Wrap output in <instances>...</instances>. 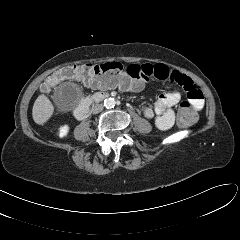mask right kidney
<instances>
[{
  "label": "right kidney",
  "instance_id": "right-kidney-1",
  "mask_svg": "<svg viewBox=\"0 0 240 240\" xmlns=\"http://www.w3.org/2000/svg\"><path fill=\"white\" fill-rule=\"evenodd\" d=\"M68 132H69V126L68 125H63L58 130V136L60 138H63L65 136H67Z\"/></svg>",
  "mask_w": 240,
  "mask_h": 240
}]
</instances>
